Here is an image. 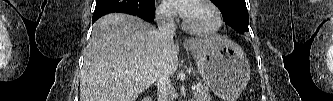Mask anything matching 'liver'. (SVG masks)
<instances>
[{
	"label": "liver",
	"mask_w": 333,
	"mask_h": 101,
	"mask_svg": "<svg viewBox=\"0 0 333 101\" xmlns=\"http://www.w3.org/2000/svg\"><path fill=\"white\" fill-rule=\"evenodd\" d=\"M178 51L173 45L164 54L159 32L138 17L122 13L101 17L87 46L80 101H136L160 75L177 70Z\"/></svg>",
	"instance_id": "1"
}]
</instances>
